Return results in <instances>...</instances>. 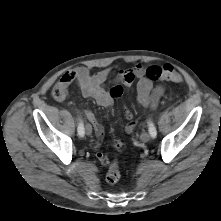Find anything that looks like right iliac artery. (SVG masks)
<instances>
[{
    "mask_svg": "<svg viewBox=\"0 0 221 221\" xmlns=\"http://www.w3.org/2000/svg\"><path fill=\"white\" fill-rule=\"evenodd\" d=\"M77 131H78V135H79L80 137H83V136H84L85 131H84V124H83L82 120H80V122H79V124H78Z\"/></svg>",
    "mask_w": 221,
    "mask_h": 221,
    "instance_id": "82829eb1",
    "label": "right iliac artery"
}]
</instances>
